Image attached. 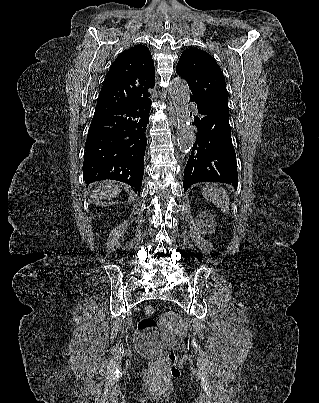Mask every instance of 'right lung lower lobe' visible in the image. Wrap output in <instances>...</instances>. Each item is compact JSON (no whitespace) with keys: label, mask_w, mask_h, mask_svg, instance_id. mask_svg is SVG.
<instances>
[{"label":"right lung lower lobe","mask_w":319,"mask_h":403,"mask_svg":"<svg viewBox=\"0 0 319 403\" xmlns=\"http://www.w3.org/2000/svg\"><path fill=\"white\" fill-rule=\"evenodd\" d=\"M150 109L151 100L147 99L94 114L85 144L83 179L86 183L118 180L140 192Z\"/></svg>","instance_id":"obj_1"}]
</instances>
